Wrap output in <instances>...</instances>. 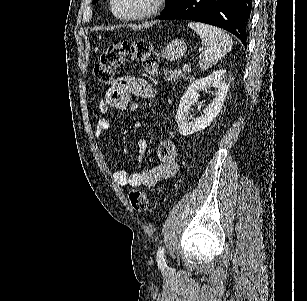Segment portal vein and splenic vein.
Instances as JSON below:
<instances>
[{
    "instance_id": "1",
    "label": "portal vein and splenic vein",
    "mask_w": 307,
    "mask_h": 301,
    "mask_svg": "<svg viewBox=\"0 0 307 301\" xmlns=\"http://www.w3.org/2000/svg\"><path fill=\"white\" fill-rule=\"evenodd\" d=\"M182 70H183V72H185V70H188V72H190L191 68H190L189 64H184Z\"/></svg>"
}]
</instances>
